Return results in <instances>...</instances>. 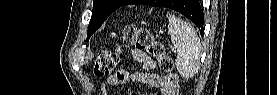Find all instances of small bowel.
Masks as SVG:
<instances>
[{"mask_svg":"<svg viewBox=\"0 0 277 95\" xmlns=\"http://www.w3.org/2000/svg\"><path fill=\"white\" fill-rule=\"evenodd\" d=\"M131 54L134 60L140 63L144 69L143 72L134 74L133 80L147 85H157L159 76L154 72L156 68L155 60L143 51L132 50ZM127 80L128 72L126 70L120 69L113 75L107 77L106 83L108 85L115 86L124 83ZM107 84H102L100 86L99 94L109 95ZM160 88L162 95H176L177 77L172 75L162 77Z\"/></svg>","mask_w":277,"mask_h":95,"instance_id":"small-bowel-1","label":"small bowel"}]
</instances>
